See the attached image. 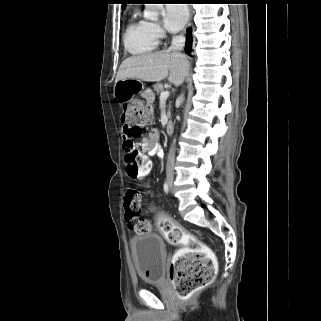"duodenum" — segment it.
Masks as SVG:
<instances>
[{"label":"duodenum","instance_id":"duodenum-1","mask_svg":"<svg viewBox=\"0 0 321 321\" xmlns=\"http://www.w3.org/2000/svg\"><path fill=\"white\" fill-rule=\"evenodd\" d=\"M165 130L167 134H171L173 132V123L171 121L166 123Z\"/></svg>","mask_w":321,"mask_h":321}]
</instances>
